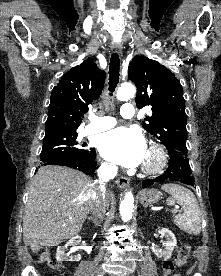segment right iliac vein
<instances>
[{"instance_id": "63e3f726", "label": "right iliac vein", "mask_w": 221, "mask_h": 276, "mask_svg": "<svg viewBox=\"0 0 221 276\" xmlns=\"http://www.w3.org/2000/svg\"><path fill=\"white\" fill-rule=\"evenodd\" d=\"M98 276H103V274H102V273H100Z\"/></svg>"}]
</instances>
